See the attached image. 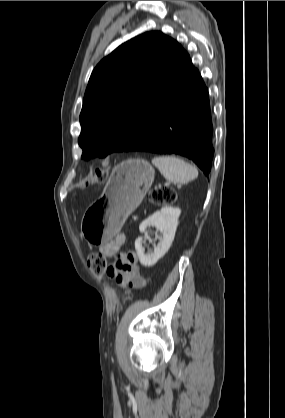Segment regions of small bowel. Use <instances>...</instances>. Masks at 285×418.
I'll return each instance as SVG.
<instances>
[{
	"instance_id": "c3829d8e",
	"label": "small bowel",
	"mask_w": 285,
	"mask_h": 418,
	"mask_svg": "<svg viewBox=\"0 0 285 418\" xmlns=\"http://www.w3.org/2000/svg\"><path fill=\"white\" fill-rule=\"evenodd\" d=\"M123 242V237L117 235L108 244L101 247V251L106 255H113ZM137 256L131 252L120 254L116 265L108 267L107 275L113 278L116 283L124 290L143 289L146 285L145 278L136 266Z\"/></svg>"
}]
</instances>
